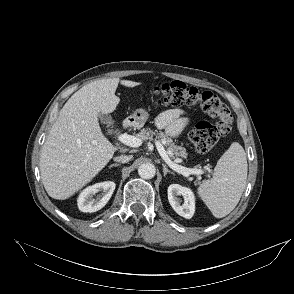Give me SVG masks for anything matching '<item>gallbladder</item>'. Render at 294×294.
Listing matches in <instances>:
<instances>
[{"mask_svg":"<svg viewBox=\"0 0 294 294\" xmlns=\"http://www.w3.org/2000/svg\"><path fill=\"white\" fill-rule=\"evenodd\" d=\"M99 119L101 120L102 123H105V124L110 125V124L113 123L112 117L110 115H107V114H100Z\"/></svg>","mask_w":294,"mask_h":294,"instance_id":"1","label":"gallbladder"}]
</instances>
